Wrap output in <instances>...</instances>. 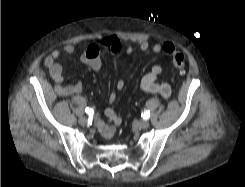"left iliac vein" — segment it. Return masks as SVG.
Here are the masks:
<instances>
[{
    "instance_id": "left-iliac-vein-1",
    "label": "left iliac vein",
    "mask_w": 245,
    "mask_h": 187,
    "mask_svg": "<svg viewBox=\"0 0 245 187\" xmlns=\"http://www.w3.org/2000/svg\"><path fill=\"white\" fill-rule=\"evenodd\" d=\"M138 127H140L141 129H147L149 127V121L147 120H141L137 123Z\"/></svg>"
}]
</instances>
